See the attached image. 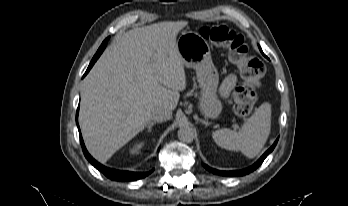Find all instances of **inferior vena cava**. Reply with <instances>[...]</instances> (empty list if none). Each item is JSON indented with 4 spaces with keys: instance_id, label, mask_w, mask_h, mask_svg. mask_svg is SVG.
<instances>
[{
    "instance_id": "602c4592",
    "label": "inferior vena cava",
    "mask_w": 348,
    "mask_h": 206,
    "mask_svg": "<svg viewBox=\"0 0 348 206\" xmlns=\"http://www.w3.org/2000/svg\"><path fill=\"white\" fill-rule=\"evenodd\" d=\"M172 117V111L163 107H156L152 110L151 118L155 121H167Z\"/></svg>"
}]
</instances>
